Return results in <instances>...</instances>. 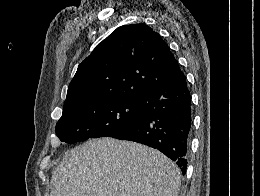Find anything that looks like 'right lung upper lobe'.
<instances>
[{
  "label": "right lung upper lobe",
  "mask_w": 260,
  "mask_h": 196,
  "mask_svg": "<svg viewBox=\"0 0 260 196\" xmlns=\"http://www.w3.org/2000/svg\"><path fill=\"white\" fill-rule=\"evenodd\" d=\"M183 75L160 35L146 24L124 25L78 66L64 107L106 95L140 99Z\"/></svg>",
  "instance_id": "right-lung-upper-lobe-1"
}]
</instances>
